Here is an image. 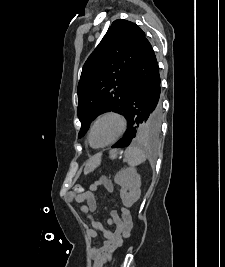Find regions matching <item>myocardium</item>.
<instances>
[{
  "mask_svg": "<svg viewBox=\"0 0 225 267\" xmlns=\"http://www.w3.org/2000/svg\"><path fill=\"white\" fill-rule=\"evenodd\" d=\"M106 117H114L119 121V124H120L119 131H118L117 135L113 139L108 141L107 143L100 145V146H95L92 144V141H91V135H92L93 128L99 120L106 118ZM127 126H128V122H127V119L123 113H121L120 111H117V110L105 111V112L101 113L100 115H98L91 123V125L89 127V131H88V136H87L88 143L94 149H102V148H105L109 145H112L123 137V135L125 134V132L127 130Z\"/></svg>",
  "mask_w": 225,
  "mask_h": 267,
  "instance_id": "f54148a6",
  "label": "myocardium"
}]
</instances>
